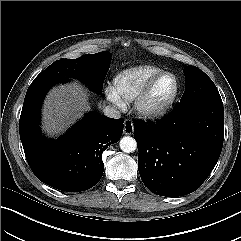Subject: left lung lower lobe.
Listing matches in <instances>:
<instances>
[{
    "instance_id": "left-lung-lower-lobe-1",
    "label": "left lung lower lobe",
    "mask_w": 241,
    "mask_h": 241,
    "mask_svg": "<svg viewBox=\"0 0 241 241\" xmlns=\"http://www.w3.org/2000/svg\"><path fill=\"white\" fill-rule=\"evenodd\" d=\"M138 170L154 194L177 197L194 192L221 154L224 139L222 100L180 102L156 123L134 122Z\"/></svg>"
}]
</instances>
